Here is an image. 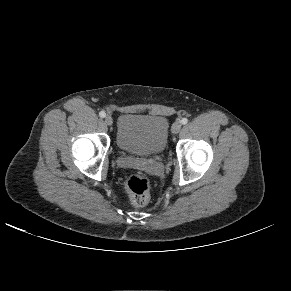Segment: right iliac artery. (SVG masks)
Masks as SVG:
<instances>
[{"label":"right iliac artery","instance_id":"1","mask_svg":"<svg viewBox=\"0 0 291 291\" xmlns=\"http://www.w3.org/2000/svg\"><path fill=\"white\" fill-rule=\"evenodd\" d=\"M99 116H100L101 118H104V117L106 116V113H105L104 111H101V112L99 113Z\"/></svg>","mask_w":291,"mask_h":291}]
</instances>
